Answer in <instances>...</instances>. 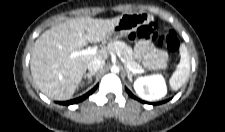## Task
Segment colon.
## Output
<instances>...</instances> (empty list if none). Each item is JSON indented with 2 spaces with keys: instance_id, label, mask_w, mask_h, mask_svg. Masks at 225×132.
I'll return each instance as SVG.
<instances>
[{
  "instance_id": "colon-1",
  "label": "colon",
  "mask_w": 225,
  "mask_h": 132,
  "mask_svg": "<svg viewBox=\"0 0 225 132\" xmlns=\"http://www.w3.org/2000/svg\"><path fill=\"white\" fill-rule=\"evenodd\" d=\"M131 39L140 37L146 40H157L158 43L166 48L169 52L176 54L178 52L180 42L177 34L173 30H168L159 34L158 26L155 22H148L140 26L136 32L129 35Z\"/></svg>"
}]
</instances>
